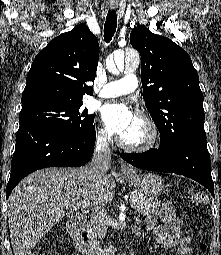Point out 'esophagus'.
<instances>
[{"label":"esophagus","mask_w":221,"mask_h":255,"mask_svg":"<svg viewBox=\"0 0 221 255\" xmlns=\"http://www.w3.org/2000/svg\"><path fill=\"white\" fill-rule=\"evenodd\" d=\"M120 168H121V171H124V172L132 170V168L124 162H121Z\"/></svg>","instance_id":"obj_1"}]
</instances>
